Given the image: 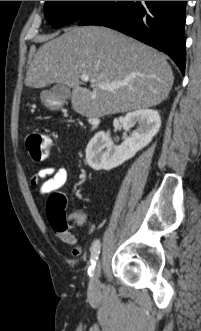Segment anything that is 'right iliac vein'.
<instances>
[{
    "instance_id": "63e3f726",
    "label": "right iliac vein",
    "mask_w": 201,
    "mask_h": 331,
    "mask_svg": "<svg viewBox=\"0 0 201 331\" xmlns=\"http://www.w3.org/2000/svg\"><path fill=\"white\" fill-rule=\"evenodd\" d=\"M100 273H101V264H100V260H99L97 262L93 277L91 278L90 285H89V292L91 294L96 293L98 290V280L100 277Z\"/></svg>"
}]
</instances>
